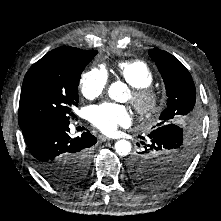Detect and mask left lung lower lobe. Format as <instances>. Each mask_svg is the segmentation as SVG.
<instances>
[{
  "mask_svg": "<svg viewBox=\"0 0 221 221\" xmlns=\"http://www.w3.org/2000/svg\"><path fill=\"white\" fill-rule=\"evenodd\" d=\"M143 162L139 156V154L133 155V157L129 161V170L131 172H138L143 169Z\"/></svg>",
  "mask_w": 221,
  "mask_h": 221,
  "instance_id": "1",
  "label": "left lung lower lobe"
}]
</instances>
